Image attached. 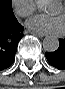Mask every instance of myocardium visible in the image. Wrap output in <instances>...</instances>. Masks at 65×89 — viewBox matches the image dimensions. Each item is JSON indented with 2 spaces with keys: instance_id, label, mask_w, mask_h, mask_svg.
<instances>
[{
  "instance_id": "1",
  "label": "myocardium",
  "mask_w": 65,
  "mask_h": 89,
  "mask_svg": "<svg viewBox=\"0 0 65 89\" xmlns=\"http://www.w3.org/2000/svg\"><path fill=\"white\" fill-rule=\"evenodd\" d=\"M60 5L62 6L63 12L65 13V4L64 3H61Z\"/></svg>"
}]
</instances>
